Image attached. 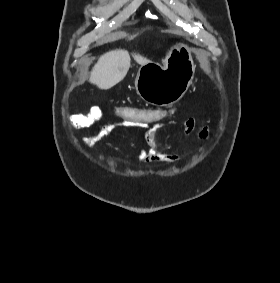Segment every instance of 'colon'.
<instances>
[{
	"label": "colon",
	"instance_id": "1",
	"mask_svg": "<svg viewBox=\"0 0 280 283\" xmlns=\"http://www.w3.org/2000/svg\"><path fill=\"white\" fill-rule=\"evenodd\" d=\"M174 108L166 107H140V105H117L113 109L115 119L120 122H141L143 125H155V122H164L165 119H171L174 115ZM181 111L180 107L176 108Z\"/></svg>",
	"mask_w": 280,
	"mask_h": 283
}]
</instances>
